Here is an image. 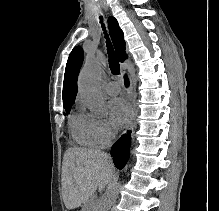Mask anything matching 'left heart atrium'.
Returning <instances> with one entry per match:
<instances>
[{
    "label": "left heart atrium",
    "mask_w": 219,
    "mask_h": 211,
    "mask_svg": "<svg viewBox=\"0 0 219 211\" xmlns=\"http://www.w3.org/2000/svg\"><path fill=\"white\" fill-rule=\"evenodd\" d=\"M108 111L111 122L115 126H122L129 116V109L122 98H114L108 104Z\"/></svg>",
    "instance_id": "left-heart-atrium-1"
}]
</instances>
